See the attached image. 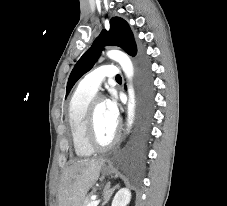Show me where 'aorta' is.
I'll use <instances>...</instances> for the list:
<instances>
[{"instance_id":"1","label":"aorta","mask_w":227,"mask_h":206,"mask_svg":"<svg viewBox=\"0 0 227 206\" xmlns=\"http://www.w3.org/2000/svg\"><path fill=\"white\" fill-rule=\"evenodd\" d=\"M107 56L120 64L126 77L131 81L134 75V68L129 56L119 50H110L107 52ZM128 97V127L130 128L135 115V93L131 83L128 86Z\"/></svg>"}]
</instances>
